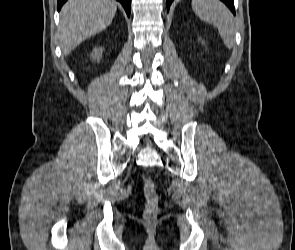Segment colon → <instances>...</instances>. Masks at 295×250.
<instances>
[{
  "label": "colon",
  "instance_id": "1",
  "mask_svg": "<svg viewBox=\"0 0 295 250\" xmlns=\"http://www.w3.org/2000/svg\"><path fill=\"white\" fill-rule=\"evenodd\" d=\"M143 191L147 200V204L144 209V217L148 221H152L157 217L159 197L156 191L155 183L151 178L144 180Z\"/></svg>",
  "mask_w": 295,
  "mask_h": 250
}]
</instances>
